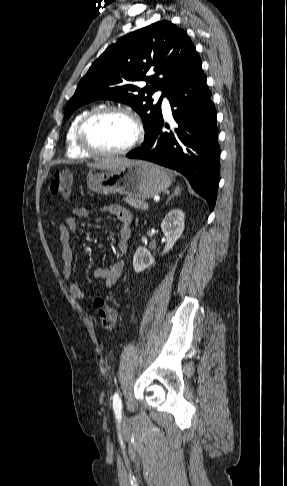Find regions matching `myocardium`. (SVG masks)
<instances>
[{"label":"myocardium","instance_id":"1","mask_svg":"<svg viewBox=\"0 0 287 486\" xmlns=\"http://www.w3.org/2000/svg\"><path fill=\"white\" fill-rule=\"evenodd\" d=\"M117 113L125 116L130 120L134 127V136L132 140L124 147L113 151H102L92 147L86 137V130L88 125L95 119L107 114ZM143 138V127L139 118L129 109L122 106H105L96 108L88 112L79 122L76 130V141L78 147L87 155L99 158H112L128 154L136 148Z\"/></svg>","mask_w":287,"mask_h":486}]
</instances>
